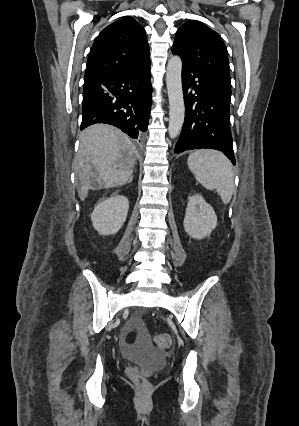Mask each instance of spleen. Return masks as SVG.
<instances>
[{
  "label": "spleen",
  "instance_id": "obj_1",
  "mask_svg": "<svg viewBox=\"0 0 299 426\" xmlns=\"http://www.w3.org/2000/svg\"><path fill=\"white\" fill-rule=\"evenodd\" d=\"M196 180L206 189H216L224 204L230 202L234 190V173L230 161L219 151L198 150L187 160Z\"/></svg>",
  "mask_w": 299,
  "mask_h": 426
}]
</instances>
